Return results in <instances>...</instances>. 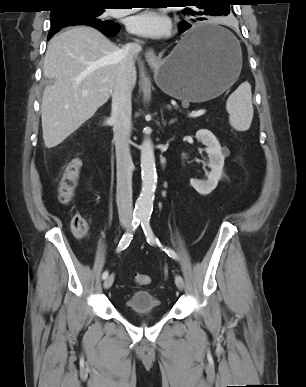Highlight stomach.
<instances>
[{"mask_svg": "<svg viewBox=\"0 0 306 387\" xmlns=\"http://www.w3.org/2000/svg\"><path fill=\"white\" fill-rule=\"evenodd\" d=\"M227 31L205 22L191 32ZM224 39L186 45V37L164 59L152 65L154 78L166 94L183 102H204L221 95L237 80L242 69L238 41Z\"/></svg>", "mask_w": 306, "mask_h": 387, "instance_id": "0dacf381", "label": "stomach"}]
</instances>
